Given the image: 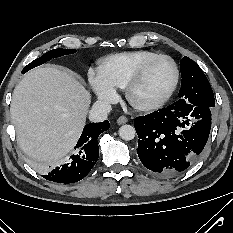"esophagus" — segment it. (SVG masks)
Returning a JSON list of instances; mask_svg holds the SVG:
<instances>
[{
    "instance_id": "1",
    "label": "esophagus",
    "mask_w": 233,
    "mask_h": 233,
    "mask_svg": "<svg viewBox=\"0 0 233 233\" xmlns=\"http://www.w3.org/2000/svg\"><path fill=\"white\" fill-rule=\"evenodd\" d=\"M127 122H128V119H127L125 116H121V117H119V118L117 119V123H118L119 125L125 124V123H127Z\"/></svg>"
}]
</instances>
